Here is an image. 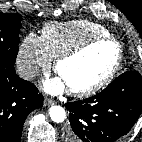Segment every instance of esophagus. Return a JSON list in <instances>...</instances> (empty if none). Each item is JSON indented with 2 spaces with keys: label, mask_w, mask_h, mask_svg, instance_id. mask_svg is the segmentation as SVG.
Segmentation results:
<instances>
[{
  "label": "esophagus",
  "mask_w": 142,
  "mask_h": 142,
  "mask_svg": "<svg viewBox=\"0 0 142 142\" xmlns=\"http://www.w3.org/2000/svg\"><path fill=\"white\" fill-rule=\"evenodd\" d=\"M54 104H55V102H54L52 99L46 98V99L44 100V105H45V106H51V105H54Z\"/></svg>",
  "instance_id": "esophagus-1"
}]
</instances>
